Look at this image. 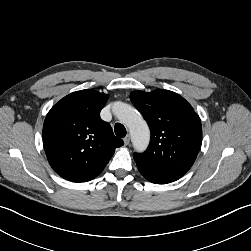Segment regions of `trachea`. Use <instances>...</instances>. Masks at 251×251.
Listing matches in <instances>:
<instances>
[{
	"label": "trachea",
	"instance_id": "1",
	"mask_svg": "<svg viewBox=\"0 0 251 251\" xmlns=\"http://www.w3.org/2000/svg\"><path fill=\"white\" fill-rule=\"evenodd\" d=\"M114 131H115L116 136H118V137H125L126 136V129L121 123L115 124Z\"/></svg>",
	"mask_w": 251,
	"mask_h": 251
}]
</instances>
